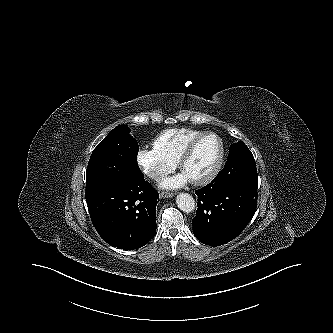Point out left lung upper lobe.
<instances>
[{"label":"left lung upper lobe","mask_w":333,"mask_h":333,"mask_svg":"<svg viewBox=\"0 0 333 333\" xmlns=\"http://www.w3.org/2000/svg\"><path fill=\"white\" fill-rule=\"evenodd\" d=\"M224 168L234 172L238 182L257 188L258 176L254 157L248 147L242 142L231 144L228 160Z\"/></svg>","instance_id":"5c2ea615"}]
</instances>
